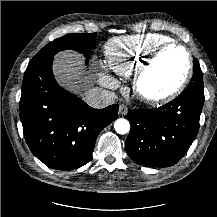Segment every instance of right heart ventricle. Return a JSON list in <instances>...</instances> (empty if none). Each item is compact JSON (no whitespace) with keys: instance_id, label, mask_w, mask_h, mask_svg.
<instances>
[{"instance_id":"1","label":"right heart ventricle","mask_w":217,"mask_h":217,"mask_svg":"<svg viewBox=\"0 0 217 217\" xmlns=\"http://www.w3.org/2000/svg\"><path fill=\"white\" fill-rule=\"evenodd\" d=\"M170 40L158 33L112 38L105 46L106 65L120 76H131L151 52Z\"/></svg>"}]
</instances>
